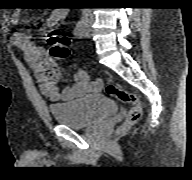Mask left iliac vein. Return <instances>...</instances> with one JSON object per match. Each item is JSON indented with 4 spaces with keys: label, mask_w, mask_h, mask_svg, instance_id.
Here are the masks:
<instances>
[{
    "label": "left iliac vein",
    "mask_w": 192,
    "mask_h": 180,
    "mask_svg": "<svg viewBox=\"0 0 192 180\" xmlns=\"http://www.w3.org/2000/svg\"><path fill=\"white\" fill-rule=\"evenodd\" d=\"M83 35H84V37H87V38L90 37L91 30H90L89 26H85Z\"/></svg>",
    "instance_id": "left-iliac-vein-1"
}]
</instances>
